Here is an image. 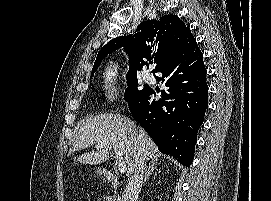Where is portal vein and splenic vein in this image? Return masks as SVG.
<instances>
[{
  "label": "portal vein and splenic vein",
  "mask_w": 271,
  "mask_h": 201,
  "mask_svg": "<svg viewBox=\"0 0 271 201\" xmlns=\"http://www.w3.org/2000/svg\"><path fill=\"white\" fill-rule=\"evenodd\" d=\"M101 147H103V145H101V144L97 145V148H101ZM114 152H115V155H116V158H117L119 172L120 173L126 172L127 165H126V163L123 160V154H122V152H120L116 148H114Z\"/></svg>",
  "instance_id": "18ae733b"
}]
</instances>
